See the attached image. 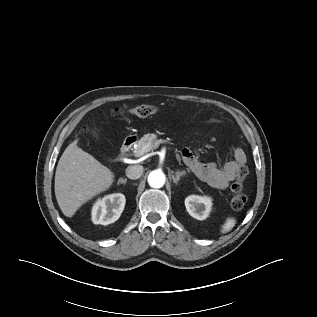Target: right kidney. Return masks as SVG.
I'll use <instances>...</instances> for the list:
<instances>
[{
  "label": "right kidney",
  "mask_w": 317,
  "mask_h": 317,
  "mask_svg": "<svg viewBox=\"0 0 317 317\" xmlns=\"http://www.w3.org/2000/svg\"><path fill=\"white\" fill-rule=\"evenodd\" d=\"M125 203V196L121 193H114L98 199L91 211L93 223L101 225L114 223L122 214Z\"/></svg>",
  "instance_id": "right-kidney-1"
}]
</instances>
